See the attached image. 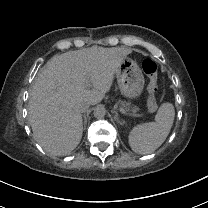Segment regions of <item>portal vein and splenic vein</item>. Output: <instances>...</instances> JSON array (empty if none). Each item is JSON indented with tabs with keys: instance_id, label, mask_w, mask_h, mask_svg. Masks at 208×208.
I'll return each mask as SVG.
<instances>
[{
	"instance_id": "portal-vein-and-splenic-vein-1",
	"label": "portal vein and splenic vein",
	"mask_w": 208,
	"mask_h": 208,
	"mask_svg": "<svg viewBox=\"0 0 208 208\" xmlns=\"http://www.w3.org/2000/svg\"><path fill=\"white\" fill-rule=\"evenodd\" d=\"M119 111L122 112V114L127 115V116H135V117L140 116V115H138V114H132V113L126 112V111L124 110L123 107H120V108H119Z\"/></svg>"
}]
</instances>
